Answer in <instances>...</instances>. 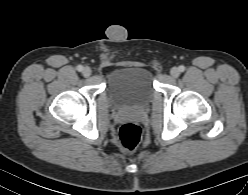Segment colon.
Here are the masks:
<instances>
[{"label":"colon","instance_id":"colon-1","mask_svg":"<svg viewBox=\"0 0 248 195\" xmlns=\"http://www.w3.org/2000/svg\"><path fill=\"white\" fill-rule=\"evenodd\" d=\"M118 140L125 150L129 152L136 151L142 141L141 128L133 122L123 124L118 132Z\"/></svg>","mask_w":248,"mask_h":195}]
</instances>
